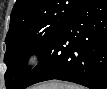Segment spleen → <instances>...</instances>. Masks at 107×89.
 <instances>
[{
  "instance_id": "1",
  "label": "spleen",
  "mask_w": 107,
  "mask_h": 89,
  "mask_svg": "<svg viewBox=\"0 0 107 89\" xmlns=\"http://www.w3.org/2000/svg\"><path fill=\"white\" fill-rule=\"evenodd\" d=\"M60 89H82V87L78 85L63 84Z\"/></svg>"
}]
</instances>
